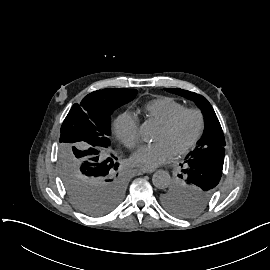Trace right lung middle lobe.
Segmentation results:
<instances>
[{
  "instance_id": "obj_1",
  "label": "right lung middle lobe",
  "mask_w": 270,
  "mask_h": 270,
  "mask_svg": "<svg viewBox=\"0 0 270 270\" xmlns=\"http://www.w3.org/2000/svg\"><path fill=\"white\" fill-rule=\"evenodd\" d=\"M136 89L107 88L94 91L66 116L58 142V172L74 208L100 216L123 198L126 175L109 153L110 115L132 101Z\"/></svg>"
}]
</instances>
